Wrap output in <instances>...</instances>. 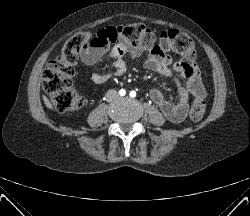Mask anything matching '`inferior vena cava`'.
<instances>
[{"instance_id":"obj_1","label":"inferior vena cava","mask_w":250,"mask_h":216,"mask_svg":"<svg viewBox=\"0 0 250 216\" xmlns=\"http://www.w3.org/2000/svg\"><path fill=\"white\" fill-rule=\"evenodd\" d=\"M106 97H107L108 101H112L113 99L119 97V95H118L116 90H109L106 93Z\"/></svg>"}]
</instances>
